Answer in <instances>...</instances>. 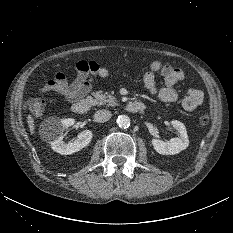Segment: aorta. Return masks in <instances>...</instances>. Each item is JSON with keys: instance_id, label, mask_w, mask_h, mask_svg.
<instances>
[{"instance_id": "aorta-1", "label": "aorta", "mask_w": 233, "mask_h": 233, "mask_svg": "<svg viewBox=\"0 0 233 233\" xmlns=\"http://www.w3.org/2000/svg\"><path fill=\"white\" fill-rule=\"evenodd\" d=\"M117 124L120 128H128L130 126V118L127 115H120L117 118Z\"/></svg>"}]
</instances>
